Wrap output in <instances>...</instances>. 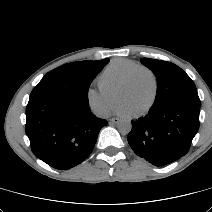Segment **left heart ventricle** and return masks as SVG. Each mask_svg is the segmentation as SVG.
Returning <instances> with one entry per match:
<instances>
[{
    "mask_svg": "<svg viewBox=\"0 0 212 212\" xmlns=\"http://www.w3.org/2000/svg\"><path fill=\"white\" fill-rule=\"evenodd\" d=\"M152 93V82L147 74H139L133 85L124 91L120 100L128 104L133 112L142 109L149 101Z\"/></svg>",
    "mask_w": 212,
    "mask_h": 212,
    "instance_id": "obj_1",
    "label": "left heart ventricle"
}]
</instances>
